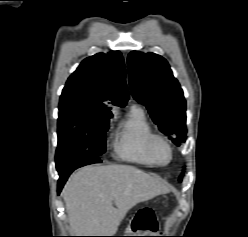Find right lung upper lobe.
Segmentation results:
<instances>
[{
	"label": "right lung upper lobe",
	"instance_id": "cb5924a9",
	"mask_svg": "<svg viewBox=\"0 0 248 237\" xmlns=\"http://www.w3.org/2000/svg\"><path fill=\"white\" fill-rule=\"evenodd\" d=\"M124 60L119 51L98 53L82 61L68 78L60 97L70 104L98 115H112L106 103L124 106L129 98Z\"/></svg>",
	"mask_w": 248,
	"mask_h": 237
}]
</instances>
